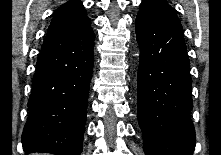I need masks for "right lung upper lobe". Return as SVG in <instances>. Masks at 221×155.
<instances>
[{
  "mask_svg": "<svg viewBox=\"0 0 221 155\" xmlns=\"http://www.w3.org/2000/svg\"><path fill=\"white\" fill-rule=\"evenodd\" d=\"M90 23L86 10L79 0L61 5L54 13L48 33L63 32L81 28Z\"/></svg>",
  "mask_w": 221,
  "mask_h": 155,
  "instance_id": "cb5924a9",
  "label": "right lung upper lobe"
}]
</instances>
